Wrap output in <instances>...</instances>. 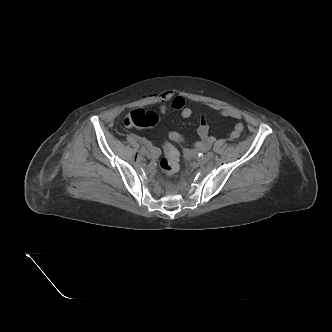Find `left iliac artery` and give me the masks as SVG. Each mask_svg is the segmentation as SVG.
<instances>
[{
	"mask_svg": "<svg viewBox=\"0 0 332 332\" xmlns=\"http://www.w3.org/2000/svg\"><path fill=\"white\" fill-rule=\"evenodd\" d=\"M207 156H208L209 158H213V157H214V154H213V152H208V153H207Z\"/></svg>",
	"mask_w": 332,
	"mask_h": 332,
	"instance_id": "left-iliac-artery-1",
	"label": "left iliac artery"
}]
</instances>
